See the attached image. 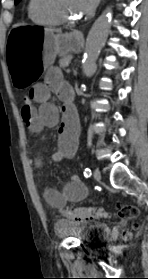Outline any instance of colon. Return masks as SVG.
<instances>
[{
  "label": "colon",
  "mask_w": 148,
  "mask_h": 279,
  "mask_svg": "<svg viewBox=\"0 0 148 279\" xmlns=\"http://www.w3.org/2000/svg\"><path fill=\"white\" fill-rule=\"evenodd\" d=\"M24 104L30 106L32 103V96L30 93H26L23 97ZM118 216L123 220H135L139 216V209L133 205L119 204L117 206ZM63 214L71 219H96L107 218L109 216L103 208L93 206L73 207L67 208L63 211ZM138 224L133 225V229H137ZM132 233L130 231L124 232V238H130Z\"/></svg>",
  "instance_id": "colon-1"
}]
</instances>
